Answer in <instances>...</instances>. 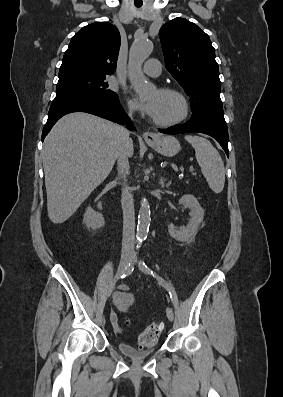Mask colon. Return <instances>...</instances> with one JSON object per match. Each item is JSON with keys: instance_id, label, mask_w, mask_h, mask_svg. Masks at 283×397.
<instances>
[{"instance_id": "obj_1", "label": "colon", "mask_w": 283, "mask_h": 397, "mask_svg": "<svg viewBox=\"0 0 283 397\" xmlns=\"http://www.w3.org/2000/svg\"><path fill=\"white\" fill-rule=\"evenodd\" d=\"M163 330V324L154 322L151 323L146 329L139 335V345L142 347H148L155 343Z\"/></svg>"}]
</instances>
